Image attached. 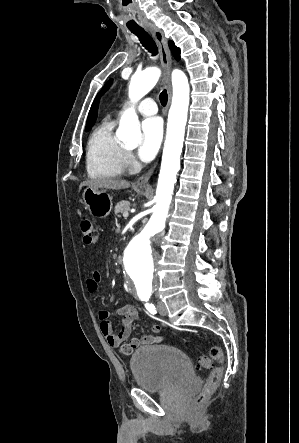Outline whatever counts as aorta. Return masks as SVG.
<instances>
[{
	"label": "aorta",
	"instance_id": "1",
	"mask_svg": "<svg viewBox=\"0 0 299 443\" xmlns=\"http://www.w3.org/2000/svg\"><path fill=\"white\" fill-rule=\"evenodd\" d=\"M160 75V69L155 67L133 75L129 85L130 100L135 103L144 97L156 85ZM171 79L173 97L156 189V205L148 223L130 240L123 259L126 274L131 280L132 294L140 300H148L154 294L156 258L151 242L165 228L176 176L180 170L187 122L190 94L187 76L175 69ZM116 136L129 144L140 142V124L134 108L126 110L121 116Z\"/></svg>",
	"mask_w": 299,
	"mask_h": 443
}]
</instances>
